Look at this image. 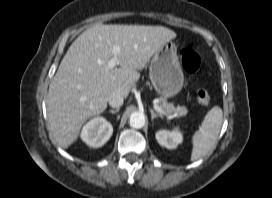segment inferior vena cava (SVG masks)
<instances>
[{"instance_id":"obj_1","label":"inferior vena cava","mask_w":272,"mask_h":198,"mask_svg":"<svg viewBox=\"0 0 272 198\" xmlns=\"http://www.w3.org/2000/svg\"><path fill=\"white\" fill-rule=\"evenodd\" d=\"M124 97L120 93H113L108 98V103L113 108H119L123 105Z\"/></svg>"}]
</instances>
